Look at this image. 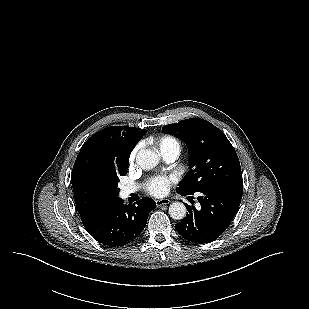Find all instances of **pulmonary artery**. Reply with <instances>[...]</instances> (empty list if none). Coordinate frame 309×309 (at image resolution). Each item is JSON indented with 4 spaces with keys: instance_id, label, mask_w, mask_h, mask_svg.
<instances>
[{
    "instance_id": "e3ab8cb5",
    "label": "pulmonary artery",
    "mask_w": 309,
    "mask_h": 309,
    "mask_svg": "<svg viewBox=\"0 0 309 309\" xmlns=\"http://www.w3.org/2000/svg\"><path fill=\"white\" fill-rule=\"evenodd\" d=\"M179 155V151L176 149H172V150H167L162 152V156L165 159V161L167 162H173L177 159ZM136 190L135 187H123L122 192L124 195H129L131 193H133Z\"/></svg>"
}]
</instances>
